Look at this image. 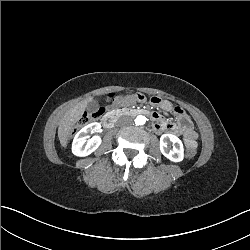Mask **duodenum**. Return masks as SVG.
<instances>
[{
    "instance_id": "1",
    "label": "duodenum",
    "mask_w": 250,
    "mask_h": 250,
    "mask_svg": "<svg viewBox=\"0 0 250 250\" xmlns=\"http://www.w3.org/2000/svg\"><path fill=\"white\" fill-rule=\"evenodd\" d=\"M123 115H129L132 117L137 116V115L148 116L149 112L142 108H136V109H131V110L113 109V110H110L103 118L102 120L103 127L107 130L112 129L117 119Z\"/></svg>"
}]
</instances>
